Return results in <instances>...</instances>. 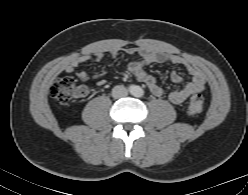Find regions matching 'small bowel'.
<instances>
[{"instance_id": "small-bowel-1", "label": "small bowel", "mask_w": 248, "mask_h": 195, "mask_svg": "<svg viewBox=\"0 0 248 195\" xmlns=\"http://www.w3.org/2000/svg\"><path fill=\"white\" fill-rule=\"evenodd\" d=\"M129 51L132 54L136 53L135 49H130ZM116 53V49L110 50V54L115 55ZM102 57V52L78 57L68 64L64 70L66 73H72L86 61L90 59L100 60ZM153 63L183 64L186 66L187 71L191 76V80L188 83L169 93V100L173 104H181L193 95L201 93L205 88V75L197 66L185 63L180 57L176 55L152 50H143L140 53V58L132 61L128 65L127 70L139 81L146 84L150 92L157 97L162 96L163 89L157 83L156 78L145 71V66ZM77 76L82 80H88L90 78V75L85 70L77 71ZM99 77L100 76H95V78ZM170 80L176 84L182 83V77L177 73H171ZM83 93H86V91L84 90Z\"/></svg>"}]
</instances>
